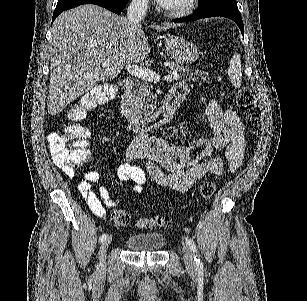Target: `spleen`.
<instances>
[{
    "instance_id": "obj_1",
    "label": "spleen",
    "mask_w": 307,
    "mask_h": 301,
    "mask_svg": "<svg viewBox=\"0 0 307 301\" xmlns=\"http://www.w3.org/2000/svg\"><path fill=\"white\" fill-rule=\"evenodd\" d=\"M229 78L235 86V88H240L242 82V68H241V56L238 52L233 54L229 66H228Z\"/></svg>"
}]
</instances>
